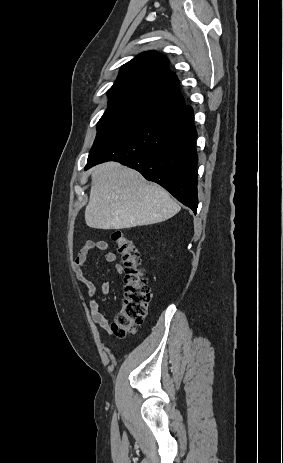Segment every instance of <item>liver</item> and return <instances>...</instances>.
<instances>
[{"instance_id": "6515ba94", "label": "liver", "mask_w": 283, "mask_h": 463, "mask_svg": "<svg viewBox=\"0 0 283 463\" xmlns=\"http://www.w3.org/2000/svg\"><path fill=\"white\" fill-rule=\"evenodd\" d=\"M92 186L85 209L87 226L124 229L163 222L180 211L170 194L157 184L116 162L92 169Z\"/></svg>"}]
</instances>
